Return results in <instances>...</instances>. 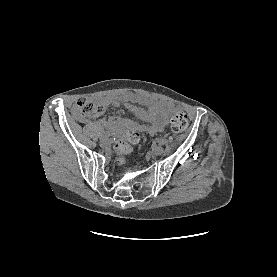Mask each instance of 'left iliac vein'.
<instances>
[{
	"mask_svg": "<svg viewBox=\"0 0 277 277\" xmlns=\"http://www.w3.org/2000/svg\"><path fill=\"white\" fill-rule=\"evenodd\" d=\"M164 149L160 145H156L152 147V153L154 155H161L163 153Z\"/></svg>",
	"mask_w": 277,
	"mask_h": 277,
	"instance_id": "4c4485c4",
	"label": "left iliac vein"
}]
</instances>
